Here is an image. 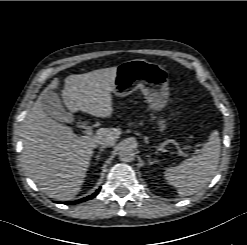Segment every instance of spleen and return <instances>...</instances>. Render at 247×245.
Returning a JSON list of instances; mask_svg holds the SVG:
<instances>
[{"mask_svg": "<svg viewBox=\"0 0 247 245\" xmlns=\"http://www.w3.org/2000/svg\"><path fill=\"white\" fill-rule=\"evenodd\" d=\"M221 145L218 131H213L199 154L178 166L165 170V179L176 187L179 196H189L207 186L214 177L220 159Z\"/></svg>", "mask_w": 247, "mask_h": 245, "instance_id": "1", "label": "spleen"}]
</instances>
